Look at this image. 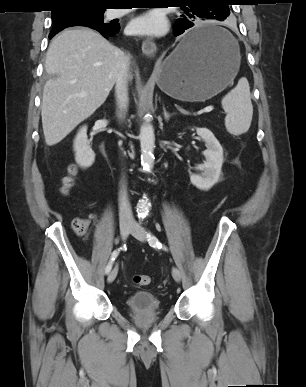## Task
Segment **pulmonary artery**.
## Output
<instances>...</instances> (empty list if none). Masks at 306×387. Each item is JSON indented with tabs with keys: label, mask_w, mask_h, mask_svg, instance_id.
<instances>
[{
	"label": "pulmonary artery",
	"mask_w": 306,
	"mask_h": 387,
	"mask_svg": "<svg viewBox=\"0 0 306 387\" xmlns=\"http://www.w3.org/2000/svg\"><path fill=\"white\" fill-rule=\"evenodd\" d=\"M129 11V9H113L108 12V16L110 18H116L125 15Z\"/></svg>",
	"instance_id": "obj_1"
}]
</instances>
